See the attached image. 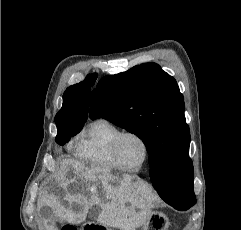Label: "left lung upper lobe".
<instances>
[{"mask_svg": "<svg viewBox=\"0 0 241 230\" xmlns=\"http://www.w3.org/2000/svg\"><path fill=\"white\" fill-rule=\"evenodd\" d=\"M90 117L105 118L134 133L147 147L149 164L163 163L165 182L159 195L164 201L196 202L184 98L176 80L158 64L144 63L103 77L92 92Z\"/></svg>", "mask_w": 241, "mask_h": 230, "instance_id": "1", "label": "left lung upper lobe"}]
</instances>
